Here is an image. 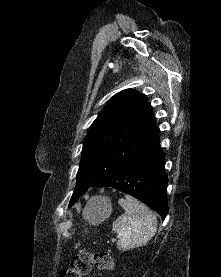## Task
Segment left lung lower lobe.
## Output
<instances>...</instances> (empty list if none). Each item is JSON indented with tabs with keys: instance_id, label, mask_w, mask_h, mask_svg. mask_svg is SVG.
<instances>
[{
	"instance_id": "1",
	"label": "left lung lower lobe",
	"mask_w": 221,
	"mask_h": 277,
	"mask_svg": "<svg viewBox=\"0 0 221 277\" xmlns=\"http://www.w3.org/2000/svg\"><path fill=\"white\" fill-rule=\"evenodd\" d=\"M158 135L91 187H112L130 194L157 211L164 220L168 212V178L163 170L164 155L159 147ZM78 199H71L69 207Z\"/></svg>"
}]
</instances>
